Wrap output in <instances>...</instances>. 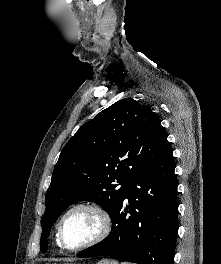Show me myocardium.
<instances>
[{"label":"myocardium","instance_id":"myocardium-1","mask_svg":"<svg viewBox=\"0 0 221 264\" xmlns=\"http://www.w3.org/2000/svg\"><path fill=\"white\" fill-rule=\"evenodd\" d=\"M78 210H87V211L94 213L99 219L100 229H99L98 234L90 241L82 245L76 246V247H70L63 240V236H62L63 224L66 218L71 213L78 211ZM111 228H112L111 216L109 212L102 205L95 203V202H81V203H77L73 205L63 214V216L61 217L59 221L56 235H57V240L63 249L76 252V251H80V250H84L89 247H92L100 243L101 241H103L109 235Z\"/></svg>","mask_w":221,"mask_h":264}]
</instances>
